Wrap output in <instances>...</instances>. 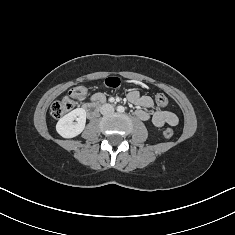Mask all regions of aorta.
I'll use <instances>...</instances> for the list:
<instances>
[{"instance_id": "obj_1", "label": "aorta", "mask_w": 235, "mask_h": 235, "mask_svg": "<svg viewBox=\"0 0 235 235\" xmlns=\"http://www.w3.org/2000/svg\"><path fill=\"white\" fill-rule=\"evenodd\" d=\"M118 111H119V112H123V111H124V107L119 106V107H118Z\"/></svg>"}]
</instances>
